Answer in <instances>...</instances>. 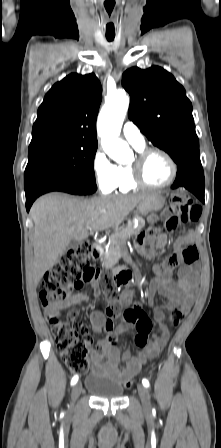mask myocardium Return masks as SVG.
I'll return each mask as SVG.
<instances>
[{"label":"myocardium","mask_w":221,"mask_h":448,"mask_svg":"<svg viewBox=\"0 0 221 448\" xmlns=\"http://www.w3.org/2000/svg\"><path fill=\"white\" fill-rule=\"evenodd\" d=\"M155 153L162 155L168 161L172 170L170 179L166 183L160 185L151 184L150 182H148L144 174L147 159ZM129 166L131 168L132 179L134 183L140 187L163 189L170 186L176 180L178 175V165L176 161L168 152L160 148H146L139 151L135 157V160Z\"/></svg>","instance_id":"myocardium-1"}]
</instances>
